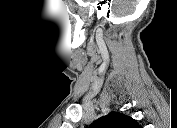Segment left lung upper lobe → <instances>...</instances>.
<instances>
[{"instance_id":"obj_1","label":"left lung upper lobe","mask_w":177,"mask_h":128,"mask_svg":"<svg viewBox=\"0 0 177 128\" xmlns=\"http://www.w3.org/2000/svg\"><path fill=\"white\" fill-rule=\"evenodd\" d=\"M91 126L93 128H140L133 118L118 112H111L97 119Z\"/></svg>"}]
</instances>
